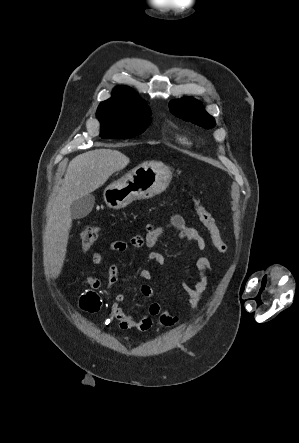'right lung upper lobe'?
<instances>
[{
  "label": "right lung upper lobe",
  "instance_id": "obj_1",
  "mask_svg": "<svg viewBox=\"0 0 299 443\" xmlns=\"http://www.w3.org/2000/svg\"><path fill=\"white\" fill-rule=\"evenodd\" d=\"M102 103H120L128 106L147 108L145 101L130 87L118 86L112 97Z\"/></svg>",
  "mask_w": 299,
  "mask_h": 443
}]
</instances>
